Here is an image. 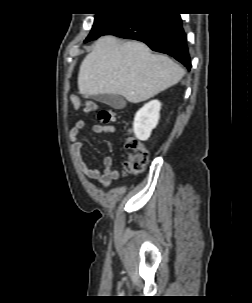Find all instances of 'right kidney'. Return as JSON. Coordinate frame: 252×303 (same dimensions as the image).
Returning <instances> with one entry per match:
<instances>
[{"mask_svg":"<svg viewBox=\"0 0 252 303\" xmlns=\"http://www.w3.org/2000/svg\"><path fill=\"white\" fill-rule=\"evenodd\" d=\"M161 103L152 100L146 103L135 115L133 129L135 136L142 141L148 140L160 118Z\"/></svg>","mask_w":252,"mask_h":303,"instance_id":"right-kidney-1","label":"right kidney"}]
</instances>
